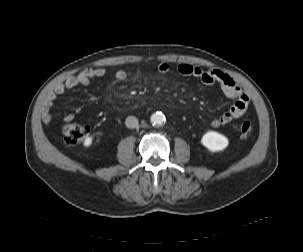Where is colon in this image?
I'll return each instance as SVG.
<instances>
[{"label": "colon", "mask_w": 303, "mask_h": 252, "mask_svg": "<svg viewBox=\"0 0 303 252\" xmlns=\"http://www.w3.org/2000/svg\"><path fill=\"white\" fill-rule=\"evenodd\" d=\"M253 130L251 122L245 121L240 124L239 132L242 136H248ZM88 129L76 123H66L63 126V137L68 143H78L86 137Z\"/></svg>", "instance_id": "obj_1"}]
</instances>
